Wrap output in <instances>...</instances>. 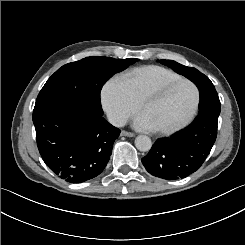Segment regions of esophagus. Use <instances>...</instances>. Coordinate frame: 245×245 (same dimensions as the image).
<instances>
[{
	"label": "esophagus",
	"instance_id": "34e87169",
	"mask_svg": "<svg viewBox=\"0 0 245 245\" xmlns=\"http://www.w3.org/2000/svg\"><path fill=\"white\" fill-rule=\"evenodd\" d=\"M121 135L122 136H127V137H134L135 136V134L134 133H132V132H127V131H121Z\"/></svg>",
	"mask_w": 245,
	"mask_h": 245
}]
</instances>
